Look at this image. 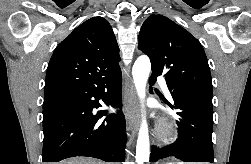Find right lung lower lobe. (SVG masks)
<instances>
[{
  "label": "right lung lower lobe",
  "mask_w": 251,
  "mask_h": 164,
  "mask_svg": "<svg viewBox=\"0 0 251 164\" xmlns=\"http://www.w3.org/2000/svg\"><path fill=\"white\" fill-rule=\"evenodd\" d=\"M107 89V92H105ZM122 75L112 74L45 93L43 103L42 162L87 156L106 162H124L127 142L125 118L106 115L99 99L107 106L121 107Z\"/></svg>",
  "instance_id": "1"
}]
</instances>
